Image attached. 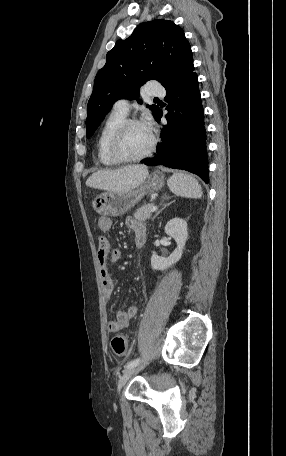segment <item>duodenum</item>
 <instances>
[{
  "label": "duodenum",
  "mask_w": 286,
  "mask_h": 456,
  "mask_svg": "<svg viewBox=\"0 0 286 456\" xmlns=\"http://www.w3.org/2000/svg\"><path fill=\"white\" fill-rule=\"evenodd\" d=\"M145 242H146V235L141 234L136 238L135 245L137 248H141L144 246Z\"/></svg>",
  "instance_id": "duodenum-1"
}]
</instances>
